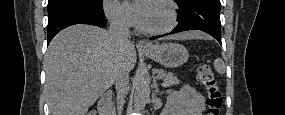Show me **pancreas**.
Segmentation results:
<instances>
[{
    "label": "pancreas",
    "mask_w": 285,
    "mask_h": 115,
    "mask_svg": "<svg viewBox=\"0 0 285 115\" xmlns=\"http://www.w3.org/2000/svg\"><path fill=\"white\" fill-rule=\"evenodd\" d=\"M157 73L161 75L162 77L163 87H170V86L177 85L180 83L177 77L174 76L173 74L166 73L163 70H158Z\"/></svg>",
    "instance_id": "cf45deb5"
}]
</instances>
